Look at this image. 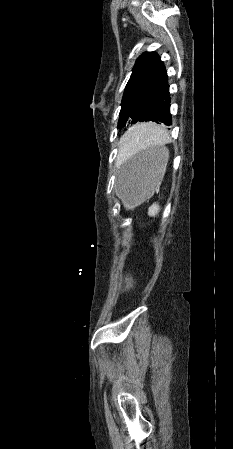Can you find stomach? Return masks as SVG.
Listing matches in <instances>:
<instances>
[{"instance_id":"stomach-1","label":"stomach","mask_w":233,"mask_h":449,"mask_svg":"<svg viewBox=\"0 0 233 449\" xmlns=\"http://www.w3.org/2000/svg\"><path fill=\"white\" fill-rule=\"evenodd\" d=\"M167 160L168 151L160 145L140 152L122 168L121 190L116 194V199L123 201L127 209L150 201L160 184Z\"/></svg>"}]
</instances>
